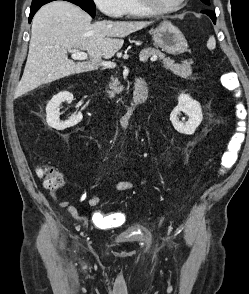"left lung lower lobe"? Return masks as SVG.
<instances>
[{
  "mask_svg": "<svg viewBox=\"0 0 249 294\" xmlns=\"http://www.w3.org/2000/svg\"><path fill=\"white\" fill-rule=\"evenodd\" d=\"M202 13L207 14L212 19L213 23L214 24L216 23V15L213 11L205 10V11H202Z\"/></svg>",
  "mask_w": 249,
  "mask_h": 294,
  "instance_id": "obj_1",
  "label": "left lung lower lobe"
}]
</instances>
